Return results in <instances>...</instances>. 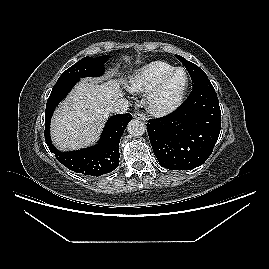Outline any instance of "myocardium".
<instances>
[{"label":"myocardium","instance_id":"obj_1","mask_svg":"<svg viewBox=\"0 0 269 269\" xmlns=\"http://www.w3.org/2000/svg\"><path fill=\"white\" fill-rule=\"evenodd\" d=\"M183 72L185 82L180 91L171 99H164L165 89L170 80L178 73ZM190 84V77L187 70L183 67L174 68L166 76H164L147 94L146 107L148 111L157 117L166 116L174 112L184 101Z\"/></svg>","mask_w":269,"mask_h":269}]
</instances>
